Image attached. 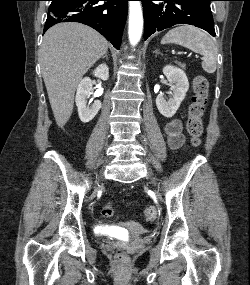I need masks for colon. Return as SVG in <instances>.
Instances as JSON below:
<instances>
[{"label": "colon", "mask_w": 250, "mask_h": 285, "mask_svg": "<svg viewBox=\"0 0 250 285\" xmlns=\"http://www.w3.org/2000/svg\"><path fill=\"white\" fill-rule=\"evenodd\" d=\"M209 83L206 77L198 75L193 79V97L189 107L187 120V131L191 137L192 144L198 146L203 134V115L208 101ZM103 217L110 218L114 215L112 203H107L101 209ZM141 216L146 221H153L157 217V210L153 206H147L143 209ZM116 260L119 263L125 261V254L121 248L116 251Z\"/></svg>", "instance_id": "1"}]
</instances>
